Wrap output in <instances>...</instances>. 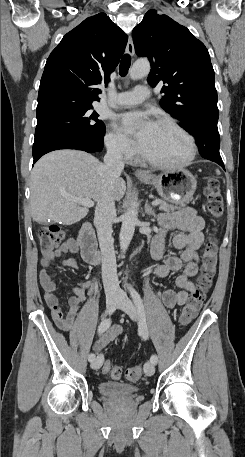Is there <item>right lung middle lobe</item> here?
<instances>
[{
	"mask_svg": "<svg viewBox=\"0 0 245 457\" xmlns=\"http://www.w3.org/2000/svg\"><path fill=\"white\" fill-rule=\"evenodd\" d=\"M92 109V102L67 101L50 110L37 112L35 138L50 132H68L82 136L101 151L105 127Z\"/></svg>",
	"mask_w": 245,
	"mask_h": 457,
	"instance_id": "dd1d6c3e",
	"label": "right lung middle lobe"
}]
</instances>
